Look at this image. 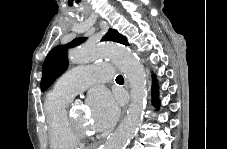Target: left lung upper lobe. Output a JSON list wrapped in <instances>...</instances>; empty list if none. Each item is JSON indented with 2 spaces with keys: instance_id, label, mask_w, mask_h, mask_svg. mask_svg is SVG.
<instances>
[{
  "instance_id": "left-lung-upper-lobe-1",
  "label": "left lung upper lobe",
  "mask_w": 227,
  "mask_h": 149,
  "mask_svg": "<svg viewBox=\"0 0 227 149\" xmlns=\"http://www.w3.org/2000/svg\"><path fill=\"white\" fill-rule=\"evenodd\" d=\"M86 38H76L67 45L52 49L47 55L42 69L41 90H46L57 77L68 67L67 48L74 47L84 42ZM102 41H115L128 45L127 39L116 30L109 29Z\"/></svg>"
}]
</instances>
